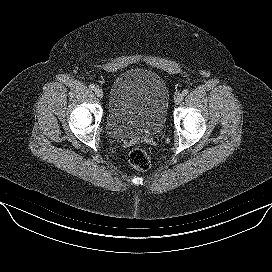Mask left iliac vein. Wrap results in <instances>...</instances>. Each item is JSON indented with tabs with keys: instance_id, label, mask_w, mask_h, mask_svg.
<instances>
[{
	"instance_id": "4c4485c4",
	"label": "left iliac vein",
	"mask_w": 272,
	"mask_h": 272,
	"mask_svg": "<svg viewBox=\"0 0 272 272\" xmlns=\"http://www.w3.org/2000/svg\"><path fill=\"white\" fill-rule=\"evenodd\" d=\"M183 99H184L183 95L181 93H178L174 97V102H175V104L178 105L183 101Z\"/></svg>"
}]
</instances>
